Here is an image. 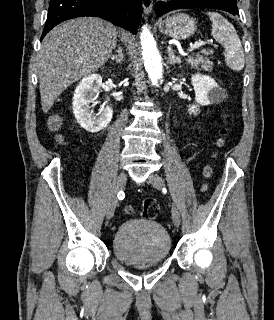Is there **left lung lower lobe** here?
<instances>
[{
  "label": "left lung lower lobe",
  "mask_w": 274,
  "mask_h": 320,
  "mask_svg": "<svg viewBox=\"0 0 274 320\" xmlns=\"http://www.w3.org/2000/svg\"><path fill=\"white\" fill-rule=\"evenodd\" d=\"M191 8H212L227 11L233 15H239L237 1L233 0H177L172 2H157L155 12L162 16L172 10Z\"/></svg>",
  "instance_id": "left-lung-lower-lobe-1"
}]
</instances>
